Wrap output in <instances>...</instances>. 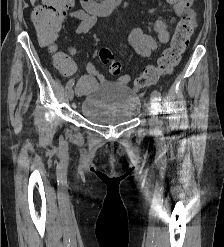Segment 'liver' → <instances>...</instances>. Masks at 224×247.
<instances>
[{
	"mask_svg": "<svg viewBox=\"0 0 224 247\" xmlns=\"http://www.w3.org/2000/svg\"><path fill=\"white\" fill-rule=\"evenodd\" d=\"M30 2H31V4H32V6H34L36 0H30Z\"/></svg>",
	"mask_w": 224,
	"mask_h": 247,
	"instance_id": "liver-1",
	"label": "liver"
}]
</instances>
